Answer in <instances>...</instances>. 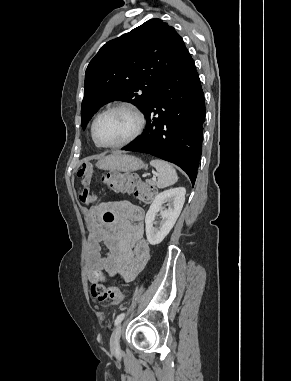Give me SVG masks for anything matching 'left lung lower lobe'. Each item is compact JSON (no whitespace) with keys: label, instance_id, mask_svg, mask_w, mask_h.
<instances>
[{"label":"left lung lower lobe","instance_id":"1","mask_svg":"<svg viewBox=\"0 0 291 381\" xmlns=\"http://www.w3.org/2000/svg\"><path fill=\"white\" fill-rule=\"evenodd\" d=\"M143 113L147 120L143 134L122 150L148 153L172 162L194 184L202 152L205 101L188 51L158 86Z\"/></svg>","mask_w":291,"mask_h":381}]
</instances>
